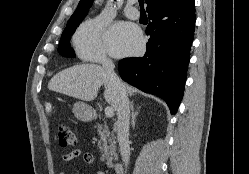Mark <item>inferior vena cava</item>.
Returning <instances> with one entry per match:
<instances>
[{"mask_svg":"<svg viewBox=\"0 0 249 174\" xmlns=\"http://www.w3.org/2000/svg\"><path fill=\"white\" fill-rule=\"evenodd\" d=\"M101 64L108 73L117 92V138L123 163L127 167L129 163V99L122 82L114 72V63L110 59L103 58Z\"/></svg>","mask_w":249,"mask_h":174,"instance_id":"602c4592","label":"inferior vena cava"}]
</instances>
